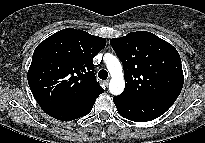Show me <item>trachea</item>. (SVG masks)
<instances>
[{
  "mask_svg": "<svg viewBox=\"0 0 205 143\" xmlns=\"http://www.w3.org/2000/svg\"><path fill=\"white\" fill-rule=\"evenodd\" d=\"M98 77L102 80H105L108 77V72L106 70L102 69L99 71Z\"/></svg>",
  "mask_w": 205,
  "mask_h": 143,
  "instance_id": "1",
  "label": "trachea"
}]
</instances>
